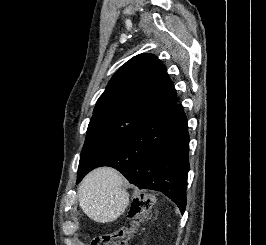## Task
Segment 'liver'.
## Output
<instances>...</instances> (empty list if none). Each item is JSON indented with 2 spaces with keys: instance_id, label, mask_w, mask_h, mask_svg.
I'll return each mask as SVG.
<instances>
[{
  "instance_id": "obj_1",
  "label": "liver",
  "mask_w": 266,
  "mask_h": 245,
  "mask_svg": "<svg viewBox=\"0 0 266 245\" xmlns=\"http://www.w3.org/2000/svg\"><path fill=\"white\" fill-rule=\"evenodd\" d=\"M124 177L109 167L88 173L78 189L79 207L95 223H112L128 207Z\"/></svg>"
}]
</instances>
